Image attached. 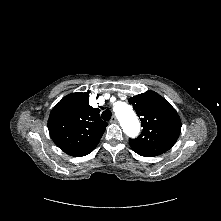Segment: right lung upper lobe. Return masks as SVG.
<instances>
[{
    "label": "right lung upper lobe",
    "instance_id": "right-lung-upper-lobe-1",
    "mask_svg": "<svg viewBox=\"0 0 221 221\" xmlns=\"http://www.w3.org/2000/svg\"><path fill=\"white\" fill-rule=\"evenodd\" d=\"M89 105V93L66 95L51 111L48 130L54 143L75 157L88 155L98 145L107 122Z\"/></svg>",
    "mask_w": 221,
    "mask_h": 221
}]
</instances>
